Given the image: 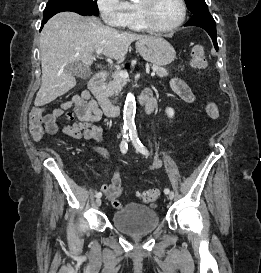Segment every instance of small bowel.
<instances>
[{
	"label": "small bowel",
	"mask_w": 261,
	"mask_h": 273,
	"mask_svg": "<svg viewBox=\"0 0 261 273\" xmlns=\"http://www.w3.org/2000/svg\"><path fill=\"white\" fill-rule=\"evenodd\" d=\"M172 90L187 104L195 102V95L187 85L180 78H173L171 80ZM74 108L75 114L78 117V122H71L63 127L64 135L84 140L99 142L103 139V130L95 123L101 119V111L95 100H93L88 92H83L74 95L69 101L63 103L61 108L54 109L51 113L47 114L44 118L46 131L49 134H54L58 131L57 120L63 115L64 110ZM71 119L72 116L68 115ZM94 152L98 157V164L103 171L108 168L109 156L106 150L100 146H95ZM100 189L111 202L112 206L116 209L122 207L119 200L123 192L121 185V169H117L112 177L110 184H103Z\"/></svg>",
	"instance_id": "1"
}]
</instances>
